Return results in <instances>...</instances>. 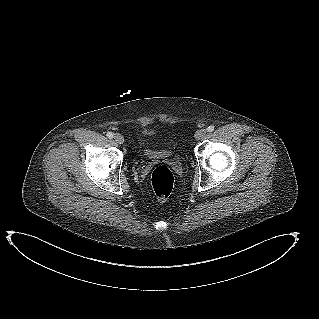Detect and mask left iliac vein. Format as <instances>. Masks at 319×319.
<instances>
[{"label":"left iliac vein","instance_id":"1","mask_svg":"<svg viewBox=\"0 0 319 319\" xmlns=\"http://www.w3.org/2000/svg\"><path fill=\"white\" fill-rule=\"evenodd\" d=\"M205 135H206V130L200 129V130L196 131L195 138H196V140H200V139L204 138Z\"/></svg>","mask_w":319,"mask_h":319}]
</instances>
